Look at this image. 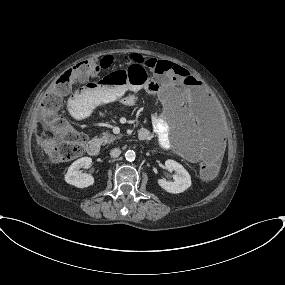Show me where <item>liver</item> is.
<instances>
[{
	"label": "liver",
	"mask_w": 285,
	"mask_h": 285,
	"mask_svg": "<svg viewBox=\"0 0 285 285\" xmlns=\"http://www.w3.org/2000/svg\"><path fill=\"white\" fill-rule=\"evenodd\" d=\"M39 145L45 150L47 154L54 152L55 147L58 146L57 140L55 138H39Z\"/></svg>",
	"instance_id": "obj_1"
}]
</instances>
